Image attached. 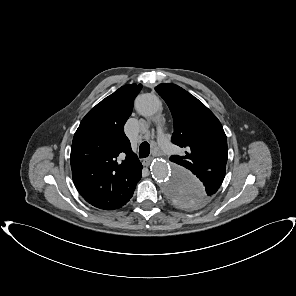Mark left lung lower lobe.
Masks as SVG:
<instances>
[{
  "label": "left lung lower lobe",
  "mask_w": 296,
  "mask_h": 296,
  "mask_svg": "<svg viewBox=\"0 0 296 296\" xmlns=\"http://www.w3.org/2000/svg\"><path fill=\"white\" fill-rule=\"evenodd\" d=\"M209 173V172H207ZM208 175H205V176H202V179H205V181H208V183H206L208 186H210L209 188H211V190H209L208 192H211V193H216L218 188L220 187L221 183L223 182V179H224V176H225V173L224 174H219V177H215V179H217L218 181L217 182H214V181H210L208 180L206 177ZM210 182V183H209Z\"/></svg>",
  "instance_id": "0a47b994"
}]
</instances>
